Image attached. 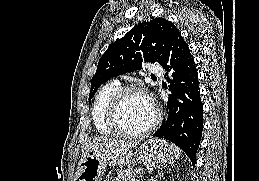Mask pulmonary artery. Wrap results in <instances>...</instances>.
<instances>
[{"label": "pulmonary artery", "instance_id": "pulmonary-artery-1", "mask_svg": "<svg viewBox=\"0 0 259 181\" xmlns=\"http://www.w3.org/2000/svg\"><path fill=\"white\" fill-rule=\"evenodd\" d=\"M150 71L154 74H161L162 73V68L159 67L158 65H151Z\"/></svg>", "mask_w": 259, "mask_h": 181}]
</instances>
